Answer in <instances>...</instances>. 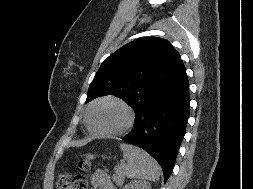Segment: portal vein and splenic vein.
Instances as JSON below:
<instances>
[{"label":"portal vein and splenic vein","instance_id":"portal-vein-and-splenic-vein-1","mask_svg":"<svg viewBox=\"0 0 253 189\" xmlns=\"http://www.w3.org/2000/svg\"><path fill=\"white\" fill-rule=\"evenodd\" d=\"M124 166V162L122 161L121 164L118 166V169L120 170L121 168H123Z\"/></svg>","mask_w":253,"mask_h":189}]
</instances>
